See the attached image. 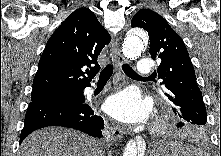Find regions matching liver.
<instances>
[{
    "mask_svg": "<svg viewBox=\"0 0 221 156\" xmlns=\"http://www.w3.org/2000/svg\"><path fill=\"white\" fill-rule=\"evenodd\" d=\"M98 142L84 133L61 127H47L28 135L19 156H98Z\"/></svg>",
    "mask_w": 221,
    "mask_h": 156,
    "instance_id": "obj_1",
    "label": "liver"
}]
</instances>
